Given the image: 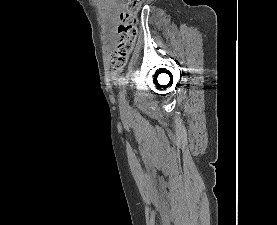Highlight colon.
I'll use <instances>...</instances> for the list:
<instances>
[{
	"instance_id": "5ec220e1",
	"label": "colon",
	"mask_w": 277,
	"mask_h": 225,
	"mask_svg": "<svg viewBox=\"0 0 277 225\" xmlns=\"http://www.w3.org/2000/svg\"><path fill=\"white\" fill-rule=\"evenodd\" d=\"M126 10L119 15L120 24L118 26L119 40L116 48L112 51L109 62L113 70H122L133 51L137 38L138 12L142 0H126Z\"/></svg>"
}]
</instances>
